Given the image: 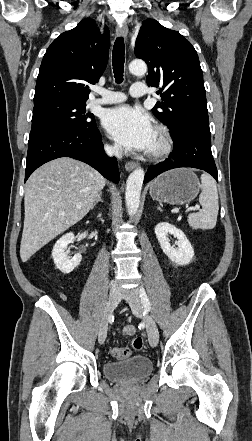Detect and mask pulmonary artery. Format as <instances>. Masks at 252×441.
<instances>
[{
  "label": "pulmonary artery",
  "instance_id": "obj_1",
  "mask_svg": "<svg viewBox=\"0 0 252 441\" xmlns=\"http://www.w3.org/2000/svg\"><path fill=\"white\" fill-rule=\"evenodd\" d=\"M96 92L100 95V97L92 99L90 101L91 105L116 104L126 100V96L122 92L106 91L101 89H97ZM147 93L148 91L143 84H133L130 87V94L133 97H143Z\"/></svg>",
  "mask_w": 252,
  "mask_h": 441
}]
</instances>
